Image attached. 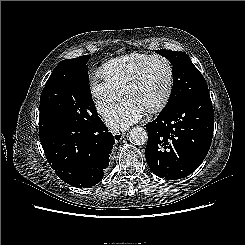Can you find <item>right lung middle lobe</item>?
Wrapping results in <instances>:
<instances>
[{"mask_svg":"<svg viewBox=\"0 0 245 245\" xmlns=\"http://www.w3.org/2000/svg\"><path fill=\"white\" fill-rule=\"evenodd\" d=\"M83 55L59 62L40 97L39 122H69L90 126L97 118L90 94L87 62Z\"/></svg>","mask_w":245,"mask_h":245,"instance_id":"dd1d6c3e","label":"right lung middle lobe"}]
</instances>
